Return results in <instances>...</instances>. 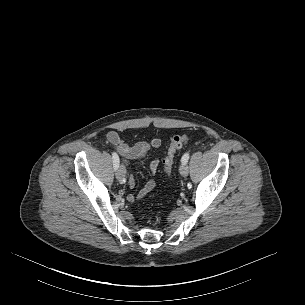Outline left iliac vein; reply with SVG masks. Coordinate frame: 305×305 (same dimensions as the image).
<instances>
[{"label":"left iliac vein","instance_id":"1","mask_svg":"<svg viewBox=\"0 0 305 305\" xmlns=\"http://www.w3.org/2000/svg\"><path fill=\"white\" fill-rule=\"evenodd\" d=\"M180 174L184 177L188 175V166L186 163H182L180 166Z\"/></svg>","mask_w":305,"mask_h":305}]
</instances>
